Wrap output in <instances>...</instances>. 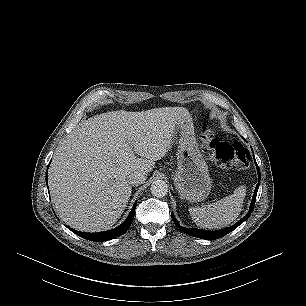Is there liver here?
Masks as SVG:
<instances>
[{"instance_id": "obj_1", "label": "liver", "mask_w": 306, "mask_h": 306, "mask_svg": "<svg viewBox=\"0 0 306 306\" xmlns=\"http://www.w3.org/2000/svg\"><path fill=\"white\" fill-rule=\"evenodd\" d=\"M184 107L112 111L83 121L54 153L48 183L59 217L82 232L110 229L131 196L129 176H145L171 149ZM135 154L137 156H135Z\"/></svg>"}]
</instances>
